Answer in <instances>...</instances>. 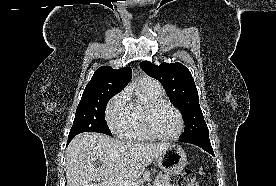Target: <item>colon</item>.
<instances>
[{
  "instance_id": "colon-1",
  "label": "colon",
  "mask_w": 276,
  "mask_h": 186,
  "mask_svg": "<svg viewBox=\"0 0 276 186\" xmlns=\"http://www.w3.org/2000/svg\"><path fill=\"white\" fill-rule=\"evenodd\" d=\"M197 178L193 171L186 170L173 178V186H198Z\"/></svg>"
}]
</instances>
